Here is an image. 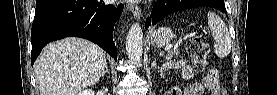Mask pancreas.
Listing matches in <instances>:
<instances>
[{
	"instance_id": "cf45deb5",
	"label": "pancreas",
	"mask_w": 277,
	"mask_h": 95,
	"mask_svg": "<svg viewBox=\"0 0 277 95\" xmlns=\"http://www.w3.org/2000/svg\"><path fill=\"white\" fill-rule=\"evenodd\" d=\"M179 54V51L177 49L170 50L167 53V59H172L173 57H176Z\"/></svg>"
}]
</instances>
